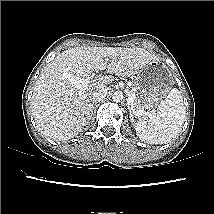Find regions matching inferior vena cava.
Listing matches in <instances>:
<instances>
[{"label": "inferior vena cava", "mask_w": 214, "mask_h": 214, "mask_svg": "<svg viewBox=\"0 0 214 214\" xmlns=\"http://www.w3.org/2000/svg\"><path fill=\"white\" fill-rule=\"evenodd\" d=\"M108 93V88L106 86H100L90 96V100L94 103L101 101Z\"/></svg>", "instance_id": "obj_1"}]
</instances>
